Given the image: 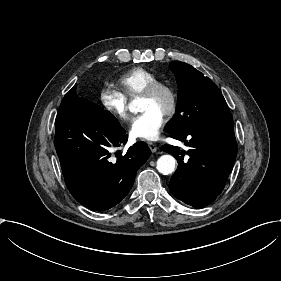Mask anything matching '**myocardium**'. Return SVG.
I'll use <instances>...</instances> for the list:
<instances>
[{
    "label": "myocardium",
    "instance_id": "obj_1",
    "mask_svg": "<svg viewBox=\"0 0 281 281\" xmlns=\"http://www.w3.org/2000/svg\"><path fill=\"white\" fill-rule=\"evenodd\" d=\"M160 93H164L167 100L166 106L163 110V116L170 117L175 113L177 108V96L170 85L160 81L155 82L142 92L141 97L148 100H154Z\"/></svg>",
    "mask_w": 281,
    "mask_h": 281
}]
</instances>
